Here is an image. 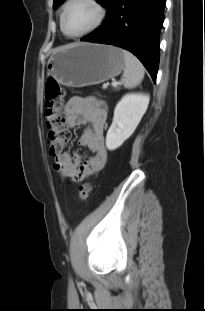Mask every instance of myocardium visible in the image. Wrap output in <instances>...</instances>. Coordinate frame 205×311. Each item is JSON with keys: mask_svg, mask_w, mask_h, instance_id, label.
Masks as SVG:
<instances>
[{"mask_svg": "<svg viewBox=\"0 0 205 311\" xmlns=\"http://www.w3.org/2000/svg\"><path fill=\"white\" fill-rule=\"evenodd\" d=\"M77 0H67L65 2V4L62 7V11H61V17H60V27L62 32L69 38H81L93 31H95L96 29H98L102 23L105 21L106 16H107V10L105 8V6L101 3L100 0H83L89 4H91L97 11V18L95 20V22L86 30H84L81 33L78 34H69L66 29H65V16H66V12L68 10V7Z\"/></svg>", "mask_w": 205, "mask_h": 311, "instance_id": "f54148a6", "label": "myocardium"}]
</instances>
